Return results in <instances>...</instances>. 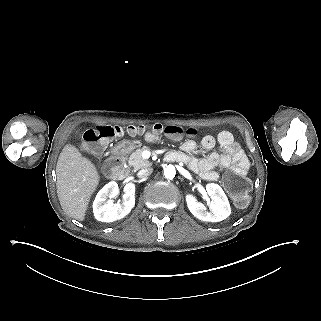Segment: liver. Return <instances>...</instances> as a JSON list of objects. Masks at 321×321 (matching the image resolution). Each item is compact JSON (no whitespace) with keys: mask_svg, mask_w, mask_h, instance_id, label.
<instances>
[{"mask_svg":"<svg viewBox=\"0 0 321 321\" xmlns=\"http://www.w3.org/2000/svg\"><path fill=\"white\" fill-rule=\"evenodd\" d=\"M57 194L60 205L70 217L83 221L90 197L99 184L96 167L72 145H65L57 166Z\"/></svg>","mask_w":321,"mask_h":321,"instance_id":"1","label":"liver"}]
</instances>
